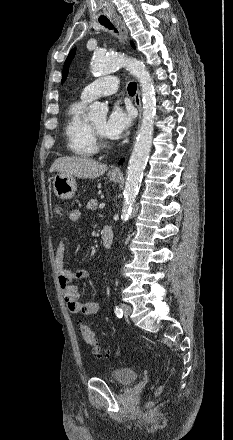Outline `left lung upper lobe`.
I'll use <instances>...</instances> for the list:
<instances>
[{
	"label": "left lung upper lobe",
	"instance_id": "1",
	"mask_svg": "<svg viewBox=\"0 0 233 440\" xmlns=\"http://www.w3.org/2000/svg\"><path fill=\"white\" fill-rule=\"evenodd\" d=\"M75 54V48L69 53L65 63H64V67H63V77H62V83L66 80L67 74H68V69L71 63V60L73 59Z\"/></svg>",
	"mask_w": 233,
	"mask_h": 440
}]
</instances>
